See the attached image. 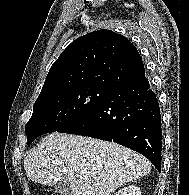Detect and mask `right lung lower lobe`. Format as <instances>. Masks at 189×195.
<instances>
[{"label":"right lung lower lobe","mask_w":189,"mask_h":195,"mask_svg":"<svg viewBox=\"0 0 189 195\" xmlns=\"http://www.w3.org/2000/svg\"><path fill=\"white\" fill-rule=\"evenodd\" d=\"M58 132L114 141L161 170V115L145 73L111 90L84 116Z\"/></svg>","instance_id":"right-lung-lower-lobe-1"}]
</instances>
